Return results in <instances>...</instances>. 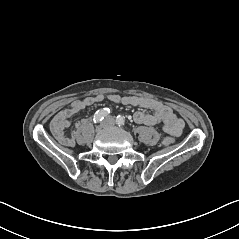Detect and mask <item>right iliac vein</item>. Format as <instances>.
<instances>
[{
    "mask_svg": "<svg viewBox=\"0 0 239 239\" xmlns=\"http://www.w3.org/2000/svg\"><path fill=\"white\" fill-rule=\"evenodd\" d=\"M106 125V123H102L99 127L98 130L101 129L102 127H104Z\"/></svg>",
    "mask_w": 239,
    "mask_h": 239,
    "instance_id": "1",
    "label": "right iliac vein"
}]
</instances>
